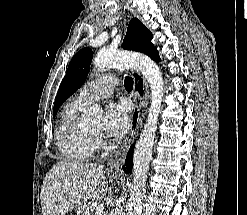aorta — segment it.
Masks as SVG:
<instances>
[{
    "instance_id": "1",
    "label": "aorta",
    "mask_w": 247,
    "mask_h": 215,
    "mask_svg": "<svg viewBox=\"0 0 247 215\" xmlns=\"http://www.w3.org/2000/svg\"><path fill=\"white\" fill-rule=\"evenodd\" d=\"M98 69L115 67L118 69L134 68L147 79L151 88V103L146 123L136 143L133 155V183L127 215H141L142 200L145 194V183L152 157V150L161 112L164 95V82L157 64L148 56L132 52H100L94 59ZM103 118L102 109L92 106L84 117L87 125L97 126Z\"/></svg>"
}]
</instances>
